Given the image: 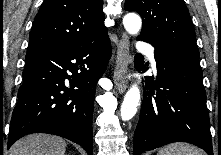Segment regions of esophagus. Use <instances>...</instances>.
Listing matches in <instances>:
<instances>
[{
    "label": "esophagus",
    "mask_w": 221,
    "mask_h": 155,
    "mask_svg": "<svg viewBox=\"0 0 221 155\" xmlns=\"http://www.w3.org/2000/svg\"><path fill=\"white\" fill-rule=\"evenodd\" d=\"M129 46V39L126 34H123L117 48V60L114 71V80L119 93H123L128 84L126 75L129 71V63L131 61Z\"/></svg>",
    "instance_id": "esophagus-1"
}]
</instances>
